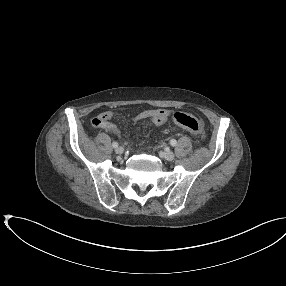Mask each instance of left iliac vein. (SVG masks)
I'll return each mask as SVG.
<instances>
[{
  "mask_svg": "<svg viewBox=\"0 0 286 286\" xmlns=\"http://www.w3.org/2000/svg\"><path fill=\"white\" fill-rule=\"evenodd\" d=\"M162 157L168 161H171L174 159L175 154L172 151H165L162 153Z\"/></svg>",
  "mask_w": 286,
  "mask_h": 286,
  "instance_id": "4c4485c4",
  "label": "left iliac vein"
}]
</instances>
